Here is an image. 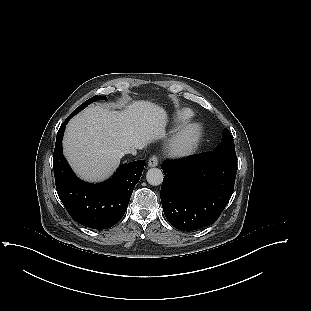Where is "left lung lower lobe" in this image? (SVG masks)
Wrapping results in <instances>:
<instances>
[{
    "label": "left lung lower lobe",
    "instance_id": "1",
    "mask_svg": "<svg viewBox=\"0 0 311 311\" xmlns=\"http://www.w3.org/2000/svg\"><path fill=\"white\" fill-rule=\"evenodd\" d=\"M161 167L165 177L160 197L168 222L187 232L213 224L232 196L236 155L209 151Z\"/></svg>",
    "mask_w": 311,
    "mask_h": 311
}]
</instances>
